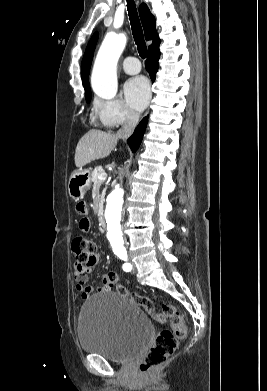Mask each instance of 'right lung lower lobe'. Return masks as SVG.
Segmentation results:
<instances>
[{"label": "right lung lower lobe", "mask_w": 267, "mask_h": 391, "mask_svg": "<svg viewBox=\"0 0 267 391\" xmlns=\"http://www.w3.org/2000/svg\"><path fill=\"white\" fill-rule=\"evenodd\" d=\"M160 57L159 48L148 53L147 61L145 63L146 70L148 71L152 82H154L156 77V72L158 71V59ZM148 122V116L144 117L141 122L136 127L132 136L128 139V144L133 152H135L143 138L144 131Z\"/></svg>", "instance_id": "98d812e1"}]
</instances>
